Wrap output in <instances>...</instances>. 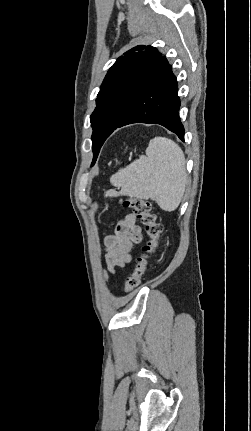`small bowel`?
Instances as JSON below:
<instances>
[{
  "mask_svg": "<svg viewBox=\"0 0 251 431\" xmlns=\"http://www.w3.org/2000/svg\"><path fill=\"white\" fill-rule=\"evenodd\" d=\"M143 229L137 225L135 214L125 215L118 223L115 233L104 238L105 269L115 273L117 267H126L133 259L134 244L143 239Z\"/></svg>",
  "mask_w": 251,
  "mask_h": 431,
  "instance_id": "obj_1",
  "label": "small bowel"
}]
</instances>
